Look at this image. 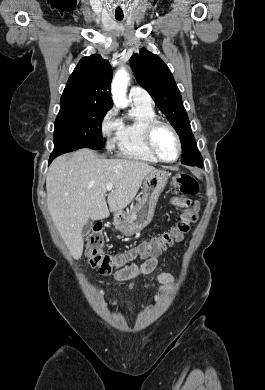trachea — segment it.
Masks as SVG:
<instances>
[{
  "label": "trachea",
  "instance_id": "3493384b",
  "mask_svg": "<svg viewBox=\"0 0 265 390\" xmlns=\"http://www.w3.org/2000/svg\"><path fill=\"white\" fill-rule=\"evenodd\" d=\"M117 21H122V18H116Z\"/></svg>",
  "mask_w": 265,
  "mask_h": 390
}]
</instances>
